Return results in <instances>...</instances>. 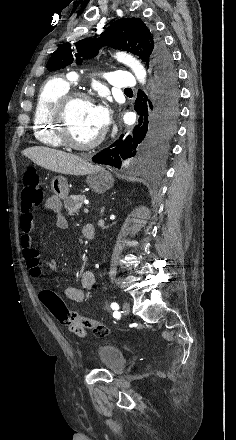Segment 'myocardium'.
Segmentation results:
<instances>
[{
    "instance_id": "1",
    "label": "myocardium",
    "mask_w": 236,
    "mask_h": 440,
    "mask_svg": "<svg viewBox=\"0 0 236 440\" xmlns=\"http://www.w3.org/2000/svg\"><path fill=\"white\" fill-rule=\"evenodd\" d=\"M79 100L93 102L88 93L80 90H69L54 103L51 118L55 125L56 136L64 146L75 150H89L97 147L103 140L104 135L100 133L93 140L85 143H79L72 138L69 130L68 112L72 104Z\"/></svg>"
}]
</instances>
